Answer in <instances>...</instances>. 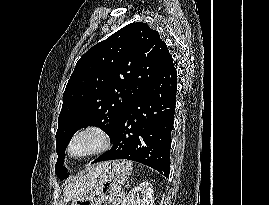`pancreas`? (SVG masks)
<instances>
[{
  "label": "pancreas",
  "mask_w": 269,
  "mask_h": 205,
  "mask_svg": "<svg viewBox=\"0 0 269 205\" xmlns=\"http://www.w3.org/2000/svg\"><path fill=\"white\" fill-rule=\"evenodd\" d=\"M122 196L118 199L117 203L113 204V205H119V202L121 201Z\"/></svg>",
  "instance_id": "cf45deb5"
}]
</instances>
